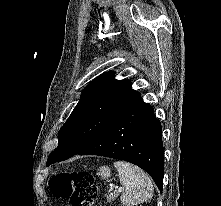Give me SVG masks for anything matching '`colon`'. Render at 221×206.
Returning a JSON list of instances; mask_svg holds the SVG:
<instances>
[{"mask_svg":"<svg viewBox=\"0 0 221 206\" xmlns=\"http://www.w3.org/2000/svg\"><path fill=\"white\" fill-rule=\"evenodd\" d=\"M49 186L56 197L68 199L72 206H92L98 193L93 175L85 171L60 172Z\"/></svg>","mask_w":221,"mask_h":206,"instance_id":"1","label":"colon"}]
</instances>
